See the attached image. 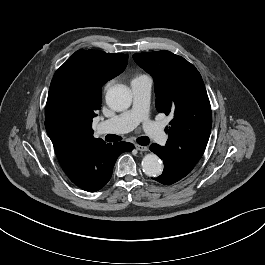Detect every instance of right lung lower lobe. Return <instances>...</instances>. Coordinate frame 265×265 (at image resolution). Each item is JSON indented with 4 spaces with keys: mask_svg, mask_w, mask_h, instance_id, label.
I'll return each instance as SVG.
<instances>
[{
    "mask_svg": "<svg viewBox=\"0 0 265 265\" xmlns=\"http://www.w3.org/2000/svg\"><path fill=\"white\" fill-rule=\"evenodd\" d=\"M133 148V144L128 142L94 144L74 164L63 170L76 186L95 192L110 180L118 156Z\"/></svg>",
    "mask_w": 265,
    "mask_h": 265,
    "instance_id": "right-lung-lower-lobe-1",
    "label": "right lung lower lobe"
}]
</instances>
